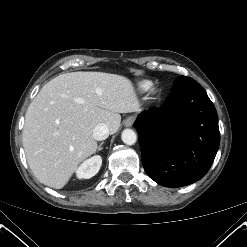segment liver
<instances>
[{
	"label": "liver",
	"mask_w": 247,
	"mask_h": 247,
	"mask_svg": "<svg viewBox=\"0 0 247 247\" xmlns=\"http://www.w3.org/2000/svg\"><path fill=\"white\" fill-rule=\"evenodd\" d=\"M139 110L133 83L124 76L80 71L55 77L25 115L23 147L30 169L44 185L63 188L78 165L96 152L93 129L105 123L114 134L120 113Z\"/></svg>",
	"instance_id": "obj_1"
}]
</instances>
